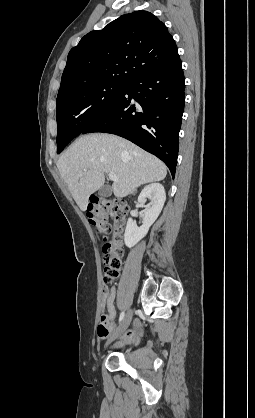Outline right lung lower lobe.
Instances as JSON below:
<instances>
[{"label":"right lung lower lobe","instance_id":"1","mask_svg":"<svg viewBox=\"0 0 255 418\" xmlns=\"http://www.w3.org/2000/svg\"><path fill=\"white\" fill-rule=\"evenodd\" d=\"M184 102L178 58L131 80L108 112L82 134L104 132L126 138L161 159L174 177Z\"/></svg>","mask_w":255,"mask_h":418}]
</instances>
